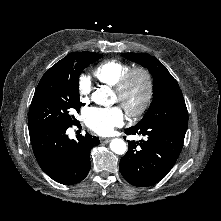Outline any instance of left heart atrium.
<instances>
[{"mask_svg": "<svg viewBox=\"0 0 221 221\" xmlns=\"http://www.w3.org/2000/svg\"><path fill=\"white\" fill-rule=\"evenodd\" d=\"M86 125L95 133L106 136L124 122V114L120 107H91L84 113Z\"/></svg>", "mask_w": 221, "mask_h": 221, "instance_id": "left-heart-atrium-1", "label": "left heart atrium"}]
</instances>
